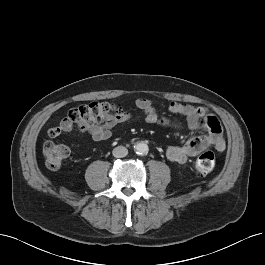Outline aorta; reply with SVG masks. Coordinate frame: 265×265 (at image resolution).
<instances>
[{"label":"aorta","instance_id":"aorta-1","mask_svg":"<svg viewBox=\"0 0 265 265\" xmlns=\"http://www.w3.org/2000/svg\"><path fill=\"white\" fill-rule=\"evenodd\" d=\"M135 151L139 155H145L148 153V145L145 142H139L135 145Z\"/></svg>","mask_w":265,"mask_h":265}]
</instances>
